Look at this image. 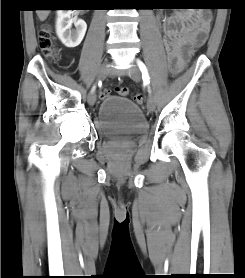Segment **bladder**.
<instances>
[{"instance_id":"bladder-1","label":"bladder","mask_w":245,"mask_h":278,"mask_svg":"<svg viewBox=\"0 0 245 278\" xmlns=\"http://www.w3.org/2000/svg\"><path fill=\"white\" fill-rule=\"evenodd\" d=\"M96 122L107 139L138 135L146 130L142 109L122 96L104 98L98 108Z\"/></svg>"}]
</instances>
